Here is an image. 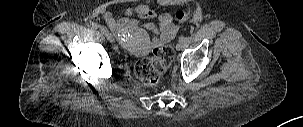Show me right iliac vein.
<instances>
[{
    "label": "right iliac vein",
    "mask_w": 303,
    "mask_h": 127,
    "mask_svg": "<svg viewBox=\"0 0 303 127\" xmlns=\"http://www.w3.org/2000/svg\"><path fill=\"white\" fill-rule=\"evenodd\" d=\"M105 36H106V38L108 39L109 42H111V43L114 42V38L109 32L107 34H105Z\"/></svg>",
    "instance_id": "obj_1"
}]
</instances>
